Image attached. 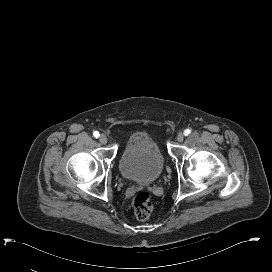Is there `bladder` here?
Wrapping results in <instances>:
<instances>
[{"mask_svg":"<svg viewBox=\"0 0 272 272\" xmlns=\"http://www.w3.org/2000/svg\"><path fill=\"white\" fill-rule=\"evenodd\" d=\"M164 157L158 144L145 133L132 134L119 158V168L129 180L150 184L161 175Z\"/></svg>","mask_w":272,"mask_h":272,"instance_id":"31cf9c89","label":"bladder"}]
</instances>
